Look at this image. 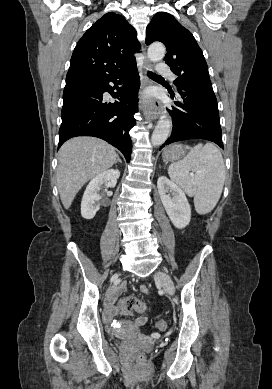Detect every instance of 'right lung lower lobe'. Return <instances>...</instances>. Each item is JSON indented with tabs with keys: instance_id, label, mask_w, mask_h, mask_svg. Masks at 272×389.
I'll return each instance as SVG.
<instances>
[{
	"instance_id": "1",
	"label": "right lung lower lobe",
	"mask_w": 272,
	"mask_h": 389,
	"mask_svg": "<svg viewBox=\"0 0 272 389\" xmlns=\"http://www.w3.org/2000/svg\"><path fill=\"white\" fill-rule=\"evenodd\" d=\"M139 87L136 62L96 80L66 84L58 148L75 136H95L118 148L129 162V130L135 125ZM104 92H109L115 103L105 102Z\"/></svg>"
}]
</instances>
